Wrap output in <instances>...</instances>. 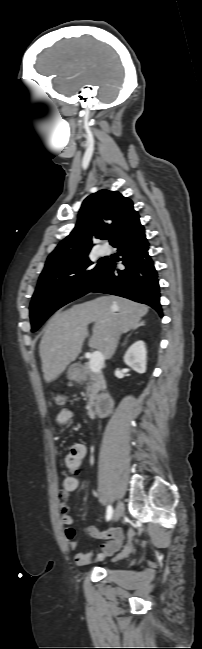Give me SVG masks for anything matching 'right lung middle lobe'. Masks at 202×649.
<instances>
[{
	"label": "right lung middle lobe",
	"instance_id": "obj_1",
	"mask_svg": "<svg viewBox=\"0 0 202 649\" xmlns=\"http://www.w3.org/2000/svg\"><path fill=\"white\" fill-rule=\"evenodd\" d=\"M92 264L86 254L75 262L71 270L39 278L30 304L32 332L57 309L88 293L104 262L90 268Z\"/></svg>",
	"mask_w": 202,
	"mask_h": 649
}]
</instances>
